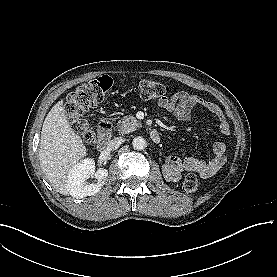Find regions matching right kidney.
Listing matches in <instances>:
<instances>
[{
  "mask_svg": "<svg viewBox=\"0 0 277 277\" xmlns=\"http://www.w3.org/2000/svg\"><path fill=\"white\" fill-rule=\"evenodd\" d=\"M94 175L98 179L97 184L86 185V180ZM69 182L72 188L78 191L81 198L91 196L101 189V183L106 180L107 170L99 169L95 172V162L92 158H86L78 162L69 173Z\"/></svg>",
  "mask_w": 277,
  "mask_h": 277,
  "instance_id": "1",
  "label": "right kidney"
}]
</instances>
